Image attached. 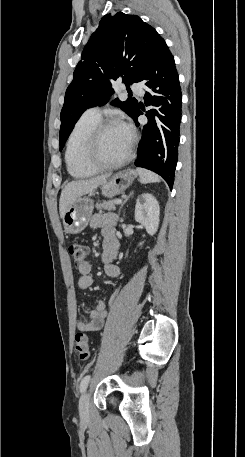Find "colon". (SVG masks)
Listing matches in <instances>:
<instances>
[{"label": "colon", "instance_id": "1", "mask_svg": "<svg viewBox=\"0 0 245 457\" xmlns=\"http://www.w3.org/2000/svg\"><path fill=\"white\" fill-rule=\"evenodd\" d=\"M68 252L76 264L86 260L88 249L86 246L73 243L68 247ZM74 347L80 359H87L90 354L89 339L85 332L79 331L75 335Z\"/></svg>", "mask_w": 245, "mask_h": 457}]
</instances>
